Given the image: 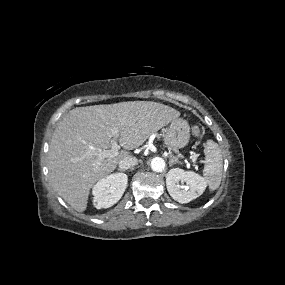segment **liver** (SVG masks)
Wrapping results in <instances>:
<instances>
[{
  "label": "liver",
  "mask_w": 285,
  "mask_h": 285,
  "mask_svg": "<svg viewBox=\"0 0 285 285\" xmlns=\"http://www.w3.org/2000/svg\"><path fill=\"white\" fill-rule=\"evenodd\" d=\"M180 112L152 101H129L76 107L66 114L52 135L48 152L49 179L57 194L74 210L87 208L92 186L113 172L119 162L132 157L130 150L142 145ZM118 129V156L97 163L96 150H107L111 131Z\"/></svg>",
  "instance_id": "1"
}]
</instances>
